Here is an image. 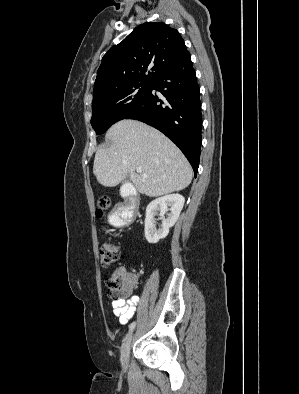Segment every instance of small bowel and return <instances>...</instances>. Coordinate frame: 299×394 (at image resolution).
<instances>
[{"label": "small bowel", "instance_id": "c3829d8e", "mask_svg": "<svg viewBox=\"0 0 299 394\" xmlns=\"http://www.w3.org/2000/svg\"><path fill=\"white\" fill-rule=\"evenodd\" d=\"M122 205L119 208L121 209ZM134 278V286L137 285L138 278L136 275H133ZM139 303V297L134 295L130 299L125 301L113 300L112 308L115 316L118 317L120 324L125 325L128 321L133 317L136 307Z\"/></svg>", "mask_w": 299, "mask_h": 394}]
</instances>
